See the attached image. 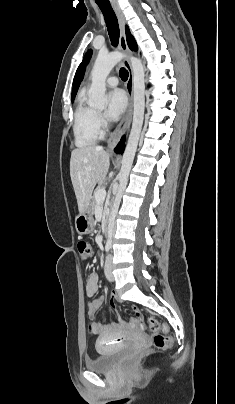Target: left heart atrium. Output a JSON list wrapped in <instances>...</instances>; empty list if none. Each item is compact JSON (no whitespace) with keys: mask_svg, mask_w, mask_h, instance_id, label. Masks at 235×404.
Listing matches in <instances>:
<instances>
[{"mask_svg":"<svg viewBox=\"0 0 235 404\" xmlns=\"http://www.w3.org/2000/svg\"><path fill=\"white\" fill-rule=\"evenodd\" d=\"M127 99L124 92L120 89H114L108 94L107 116L111 120H117L125 111Z\"/></svg>","mask_w":235,"mask_h":404,"instance_id":"left-heart-atrium-1","label":"left heart atrium"}]
</instances>
